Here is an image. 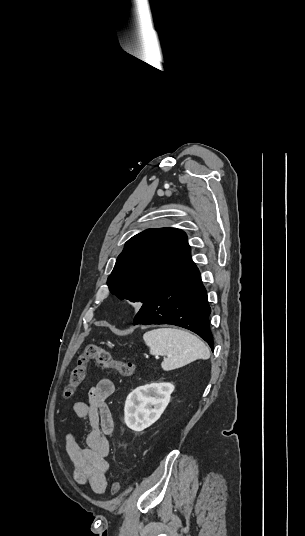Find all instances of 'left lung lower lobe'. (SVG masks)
<instances>
[{"label": "left lung lower lobe", "mask_w": 305, "mask_h": 536, "mask_svg": "<svg viewBox=\"0 0 305 536\" xmlns=\"http://www.w3.org/2000/svg\"><path fill=\"white\" fill-rule=\"evenodd\" d=\"M210 313L206 289L193 263L142 305L134 325L180 326L198 334L213 351L214 342L208 319Z\"/></svg>", "instance_id": "0a47b994"}]
</instances>
